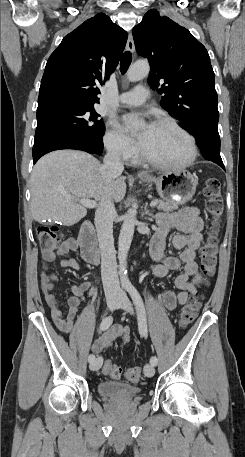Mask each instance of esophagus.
Returning <instances> with one entry per match:
<instances>
[{"instance_id":"1","label":"esophagus","mask_w":245,"mask_h":457,"mask_svg":"<svg viewBox=\"0 0 245 457\" xmlns=\"http://www.w3.org/2000/svg\"><path fill=\"white\" fill-rule=\"evenodd\" d=\"M126 49H127L129 52H134V40H133V36H132L131 33H130L129 36H128ZM137 175H138V176H148V174H147L146 172H138Z\"/></svg>"}]
</instances>
